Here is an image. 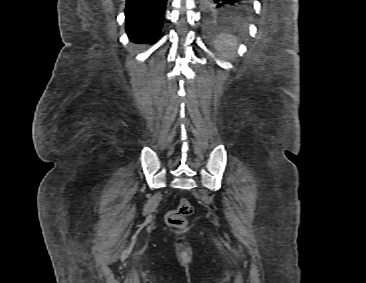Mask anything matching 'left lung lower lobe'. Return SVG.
Returning <instances> with one entry per match:
<instances>
[{
	"label": "left lung lower lobe",
	"mask_w": 366,
	"mask_h": 283,
	"mask_svg": "<svg viewBox=\"0 0 366 283\" xmlns=\"http://www.w3.org/2000/svg\"><path fill=\"white\" fill-rule=\"evenodd\" d=\"M252 0H200L203 10L210 15H230L236 11L246 9Z\"/></svg>",
	"instance_id": "left-lung-lower-lobe-1"
}]
</instances>
